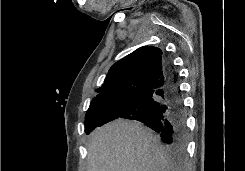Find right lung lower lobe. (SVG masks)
<instances>
[{
  "label": "right lung lower lobe",
  "instance_id": "1",
  "mask_svg": "<svg viewBox=\"0 0 245 171\" xmlns=\"http://www.w3.org/2000/svg\"><path fill=\"white\" fill-rule=\"evenodd\" d=\"M166 83L149 93L137 95L122 105L98 126L114 119L137 120L159 133L162 141L177 149V156L183 157L186 137V119L177 77L171 61L165 60Z\"/></svg>",
  "mask_w": 245,
  "mask_h": 171
}]
</instances>
